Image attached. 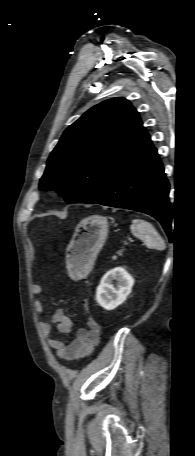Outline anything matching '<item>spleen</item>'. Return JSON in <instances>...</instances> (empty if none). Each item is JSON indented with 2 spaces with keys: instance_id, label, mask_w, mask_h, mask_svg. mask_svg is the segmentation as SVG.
I'll list each match as a JSON object with an SVG mask.
<instances>
[{
  "instance_id": "1",
  "label": "spleen",
  "mask_w": 195,
  "mask_h": 456,
  "mask_svg": "<svg viewBox=\"0 0 195 456\" xmlns=\"http://www.w3.org/2000/svg\"><path fill=\"white\" fill-rule=\"evenodd\" d=\"M132 234L141 239L147 247L162 250L165 243L154 226L142 219H134L131 224Z\"/></svg>"
}]
</instances>
